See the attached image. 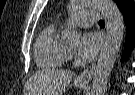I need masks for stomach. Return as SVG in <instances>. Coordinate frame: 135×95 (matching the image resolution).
Listing matches in <instances>:
<instances>
[{"mask_svg":"<svg viewBox=\"0 0 135 95\" xmlns=\"http://www.w3.org/2000/svg\"><path fill=\"white\" fill-rule=\"evenodd\" d=\"M79 86L83 88L86 86V83H81V84H79Z\"/></svg>","mask_w":135,"mask_h":95,"instance_id":"obj_1","label":"stomach"}]
</instances>
